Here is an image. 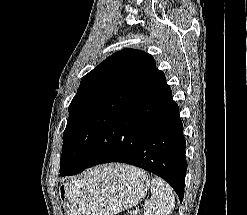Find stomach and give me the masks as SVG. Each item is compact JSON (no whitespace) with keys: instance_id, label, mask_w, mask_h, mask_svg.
Listing matches in <instances>:
<instances>
[{"instance_id":"0dacf381","label":"stomach","mask_w":247,"mask_h":215,"mask_svg":"<svg viewBox=\"0 0 247 215\" xmlns=\"http://www.w3.org/2000/svg\"><path fill=\"white\" fill-rule=\"evenodd\" d=\"M149 185L147 174L139 169L101 166L61 184L59 198L69 215H114L138 204Z\"/></svg>"}]
</instances>
